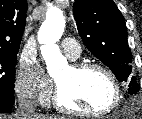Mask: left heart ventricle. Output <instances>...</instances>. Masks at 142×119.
I'll use <instances>...</instances> for the list:
<instances>
[{
  "mask_svg": "<svg viewBox=\"0 0 142 119\" xmlns=\"http://www.w3.org/2000/svg\"><path fill=\"white\" fill-rule=\"evenodd\" d=\"M55 78L62 101L70 107L97 112L106 108L113 98L111 83L100 71L89 70L76 74L69 66Z\"/></svg>",
  "mask_w": 142,
  "mask_h": 119,
  "instance_id": "1",
  "label": "left heart ventricle"
}]
</instances>
